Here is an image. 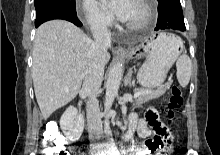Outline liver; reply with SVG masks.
<instances>
[{
  "instance_id": "liver-1",
  "label": "liver",
  "mask_w": 220,
  "mask_h": 155,
  "mask_svg": "<svg viewBox=\"0 0 220 155\" xmlns=\"http://www.w3.org/2000/svg\"><path fill=\"white\" fill-rule=\"evenodd\" d=\"M92 40L74 24L52 20L37 30L32 78L44 119L72 101L80 91ZM110 54H106V62Z\"/></svg>"
}]
</instances>
